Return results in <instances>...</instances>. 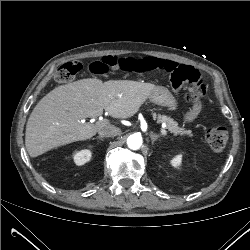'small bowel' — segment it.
Here are the masks:
<instances>
[{
	"label": "small bowel",
	"instance_id": "obj_1",
	"mask_svg": "<svg viewBox=\"0 0 250 250\" xmlns=\"http://www.w3.org/2000/svg\"><path fill=\"white\" fill-rule=\"evenodd\" d=\"M146 62L154 63L156 67L155 70H164L167 72H173L178 67V64L171 60H164V59H160L156 57H145V58L140 59L141 66H144ZM197 112H198L197 109H194L193 111L189 112L186 115V120L187 121L193 120Z\"/></svg>",
	"mask_w": 250,
	"mask_h": 250
}]
</instances>
